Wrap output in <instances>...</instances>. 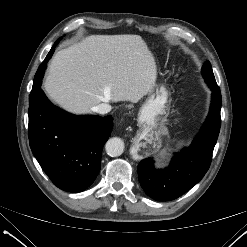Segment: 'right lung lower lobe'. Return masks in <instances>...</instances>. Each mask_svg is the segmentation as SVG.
Returning a JSON list of instances; mask_svg holds the SVG:
<instances>
[{
  "instance_id": "1",
  "label": "right lung lower lobe",
  "mask_w": 247,
  "mask_h": 247,
  "mask_svg": "<svg viewBox=\"0 0 247 247\" xmlns=\"http://www.w3.org/2000/svg\"><path fill=\"white\" fill-rule=\"evenodd\" d=\"M112 117L75 116L54 106L41 89L29 99L31 150L51 181L68 192H81L96 179L101 153L112 130Z\"/></svg>"
}]
</instances>
